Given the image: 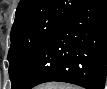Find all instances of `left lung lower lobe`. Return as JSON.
<instances>
[{
    "label": "left lung lower lobe",
    "mask_w": 107,
    "mask_h": 89,
    "mask_svg": "<svg viewBox=\"0 0 107 89\" xmlns=\"http://www.w3.org/2000/svg\"><path fill=\"white\" fill-rule=\"evenodd\" d=\"M107 1L87 0L48 38L12 89L49 81L104 89Z\"/></svg>",
    "instance_id": "left-lung-lower-lobe-1"
}]
</instances>
